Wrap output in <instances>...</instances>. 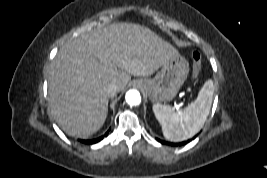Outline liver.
Masks as SVG:
<instances>
[{
    "label": "liver",
    "mask_w": 267,
    "mask_h": 178,
    "mask_svg": "<svg viewBox=\"0 0 267 178\" xmlns=\"http://www.w3.org/2000/svg\"><path fill=\"white\" fill-rule=\"evenodd\" d=\"M178 51L149 28L114 23L63 45L48 76L51 114L70 136L87 138L104 124L108 84L122 91L131 76H150Z\"/></svg>",
    "instance_id": "liver-1"
}]
</instances>
